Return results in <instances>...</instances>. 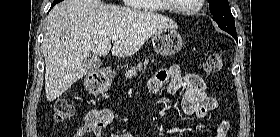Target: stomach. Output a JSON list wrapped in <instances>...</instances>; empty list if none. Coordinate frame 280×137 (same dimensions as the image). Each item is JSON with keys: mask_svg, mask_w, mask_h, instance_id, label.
Segmentation results:
<instances>
[{"mask_svg": "<svg viewBox=\"0 0 280 137\" xmlns=\"http://www.w3.org/2000/svg\"><path fill=\"white\" fill-rule=\"evenodd\" d=\"M152 44L157 54L168 57L175 55L182 48L183 39L176 30L167 28L152 36ZM107 76V80L110 81L112 75ZM86 87L93 93L103 91L95 84L86 83Z\"/></svg>", "mask_w": 280, "mask_h": 137, "instance_id": "stomach-1", "label": "stomach"}]
</instances>
